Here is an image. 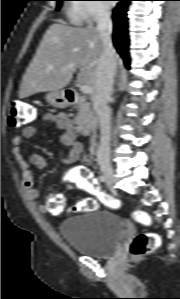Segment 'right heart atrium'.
I'll list each match as a JSON object with an SVG mask.
<instances>
[{
	"instance_id": "1",
	"label": "right heart atrium",
	"mask_w": 180,
	"mask_h": 299,
	"mask_svg": "<svg viewBox=\"0 0 180 299\" xmlns=\"http://www.w3.org/2000/svg\"><path fill=\"white\" fill-rule=\"evenodd\" d=\"M82 20L87 22L98 21L109 14V8L102 0H91L87 4H83L76 8Z\"/></svg>"
}]
</instances>
